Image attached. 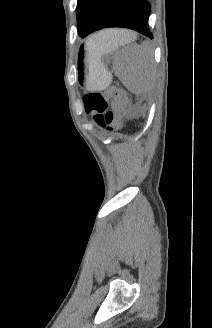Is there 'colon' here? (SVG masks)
<instances>
[{
	"instance_id": "colon-1",
	"label": "colon",
	"mask_w": 212,
	"mask_h": 328,
	"mask_svg": "<svg viewBox=\"0 0 212 328\" xmlns=\"http://www.w3.org/2000/svg\"><path fill=\"white\" fill-rule=\"evenodd\" d=\"M126 101V95L122 89L111 87L105 91L86 94L84 107L86 113L92 116L99 127L112 131L115 112L123 108Z\"/></svg>"
}]
</instances>
